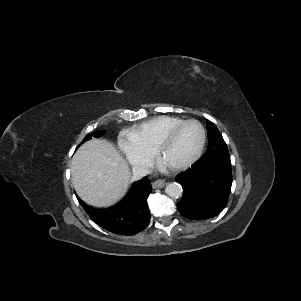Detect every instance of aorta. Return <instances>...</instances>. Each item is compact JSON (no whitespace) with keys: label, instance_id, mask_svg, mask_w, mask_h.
I'll use <instances>...</instances> for the list:
<instances>
[{"label":"aorta","instance_id":"1","mask_svg":"<svg viewBox=\"0 0 301 301\" xmlns=\"http://www.w3.org/2000/svg\"><path fill=\"white\" fill-rule=\"evenodd\" d=\"M165 192L171 198H180L183 193L182 186L179 183H169L166 186Z\"/></svg>","mask_w":301,"mask_h":301}]
</instances>
